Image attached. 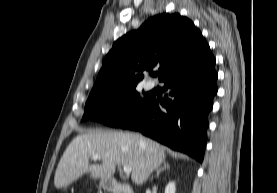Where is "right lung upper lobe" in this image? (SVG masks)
I'll list each match as a JSON object with an SVG mask.
<instances>
[{
    "label": "right lung upper lobe",
    "instance_id": "obj_1",
    "mask_svg": "<svg viewBox=\"0 0 277 193\" xmlns=\"http://www.w3.org/2000/svg\"><path fill=\"white\" fill-rule=\"evenodd\" d=\"M208 49L200 30L188 18L178 13L156 15L114 43L90 94L136 86L143 73L155 66H160L162 81Z\"/></svg>",
    "mask_w": 277,
    "mask_h": 193
}]
</instances>
